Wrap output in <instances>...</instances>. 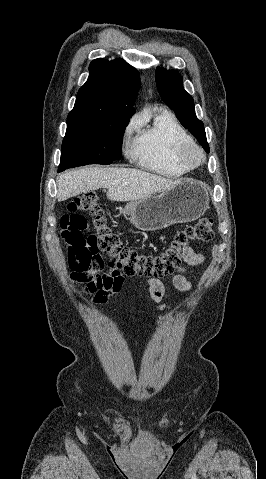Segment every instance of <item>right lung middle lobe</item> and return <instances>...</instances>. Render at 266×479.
<instances>
[{"mask_svg": "<svg viewBox=\"0 0 266 479\" xmlns=\"http://www.w3.org/2000/svg\"><path fill=\"white\" fill-rule=\"evenodd\" d=\"M127 118L67 117L59 170L86 164H110L121 158Z\"/></svg>", "mask_w": 266, "mask_h": 479, "instance_id": "obj_1", "label": "right lung middle lobe"}]
</instances>
